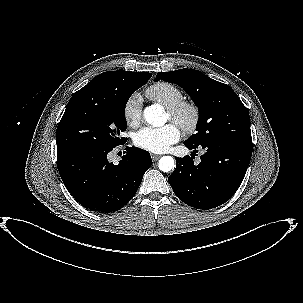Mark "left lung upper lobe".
<instances>
[{
	"mask_svg": "<svg viewBox=\"0 0 303 303\" xmlns=\"http://www.w3.org/2000/svg\"><path fill=\"white\" fill-rule=\"evenodd\" d=\"M159 80L182 87L199 108L197 133L186 144L200 146L218 139H252L249 112L228 85L188 68L159 72L154 81Z\"/></svg>",
	"mask_w": 303,
	"mask_h": 303,
	"instance_id": "obj_1",
	"label": "left lung upper lobe"
}]
</instances>
